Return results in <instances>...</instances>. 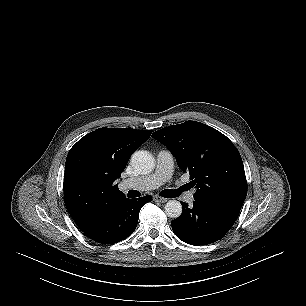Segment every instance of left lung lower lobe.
<instances>
[{
  "mask_svg": "<svg viewBox=\"0 0 306 306\" xmlns=\"http://www.w3.org/2000/svg\"><path fill=\"white\" fill-rule=\"evenodd\" d=\"M182 214L172 221L174 233L185 243L206 245L221 239L235 223L241 207L195 200L192 207L181 202Z\"/></svg>",
  "mask_w": 306,
  "mask_h": 306,
  "instance_id": "0a47b994",
  "label": "left lung lower lobe"
}]
</instances>
